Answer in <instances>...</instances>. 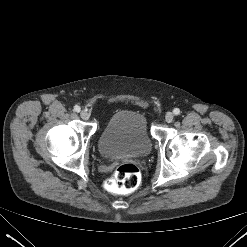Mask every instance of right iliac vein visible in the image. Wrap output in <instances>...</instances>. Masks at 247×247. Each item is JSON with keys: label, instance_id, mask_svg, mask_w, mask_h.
Here are the masks:
<instances>
[{"label": "right iliac vein", "instance_id": "right-iliac-vein-1", "mask_svg": "<svg viewBox=\"0 0 247 247\" xmlns=\"http://www.w3.org/2000/svg\"><path fill=\"white\" fill-rule=\"evenodd\" d=\"M80 117L83 119V120H88L89 117H90V114L87 110H82L80 112Z\"/></svg>", "mask_w": 247, "mask_h": 247}]
</instances>
